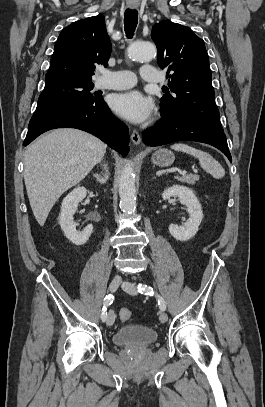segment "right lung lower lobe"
Returning <instances> with one entry per match:
<instances>
[{"instance_id": "obj_1", "label": "right lung lower lobe", "mask_w": 265, "mask_h": 407, "mask_svg": "<svg viewBox=\"0 0 265 407\" xmlns=\"http://www.w3.org/2000/svg\"><path fill=\"white\" fill-rule=\"evenodd\" d=\"M64 127L89 132L120 154L128 153V127L112 114L103 98L92 104L59 109L32 117L23 145L27 146L50 129Z\"/></svg>"}]
</instances>
